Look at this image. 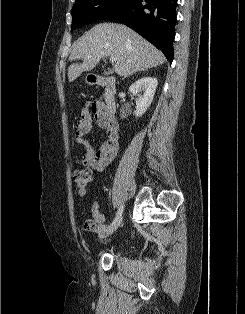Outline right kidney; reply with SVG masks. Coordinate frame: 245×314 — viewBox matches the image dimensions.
Listing matches in <instances>:
<instances>
[{
    "label": "right kidney",
    "instance_id": "1",
    "mask_svg": "<svg viewBox=\"0 0 245 314\" xmlns=\"http://www.w3.org/2000/svg\"><path fill=\"white\" fill-rule=\"evenodd\" d=\"M157 85L158 81L156 78L143 77L129 87V91L133 95L138 96L135 111L136 117H141L150 107L156 92ZM142 92L143 95L140 94Z\"/></svg>",
    "mask_w": 245,
    "mask_h": 314
}]
</instances>
